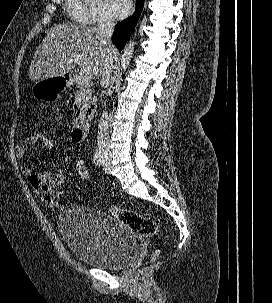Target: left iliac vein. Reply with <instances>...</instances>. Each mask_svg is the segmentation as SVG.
<instances>
[{"label": "left iliac vein", "instance_id": "1", "mask_svg": "<svg viewBox=\"0 0 272 303\" xmlns=\"http://www.w3.org/2000/svg\"><path fill=\"white\" fill-rule=\"evenodd\" d=\"M103 170L106 174L110 173V162L103 160Z\"/></svg>", "mask_w": 272, "mask_h": 303}]
</instances>
